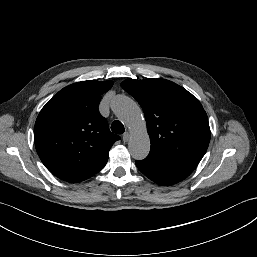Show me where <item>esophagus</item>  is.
Wrapping results in <instances>:
<instances>
[{"mask_svg": "<svg viewBox=\"0 0 257 257\" xmlns=\"http://www.w3.org/2000/svg\"><path fill=\"white\" fill-rule=\"evenodd\" d=\"M129 137H130L129 133H128V132H125V133L123 134L122 139H123L124 142H128Z\"/></svg>", "mask_w": 257, "mask_h": 257, "instance_id": "obj_1", "label": "esophagus"}]
</instances>
